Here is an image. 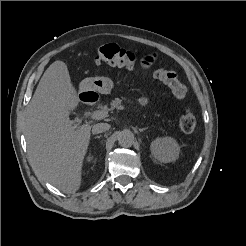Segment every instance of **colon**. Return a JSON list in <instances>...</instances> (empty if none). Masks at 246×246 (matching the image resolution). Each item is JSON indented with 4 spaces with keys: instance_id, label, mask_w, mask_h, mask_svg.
I'll return each instance as SVG.
<instances>
[{
    "instance_id": "colon-1",
    "label": "colon",
    "mask_w": 246,
    "mask_h": 246,
    "mask_svg": "<svg viewBox=\"0 0 246 246\" xmlns=\"http://www.w3.org/2000/svg\"><path fill=\"white\" fill-rule=\"evenodd\" d=\"M96 60L128 69H132L136 64V57L132 52L113 43L101 46L97 51ZM154 76L166 84L176 98L181 99L185 97L187 89L185 85L179 81L177 74L174 71L160 68L155 71ZM178 125L185 133H190L195 129L196 118L189 107L185 109V112L180 117Z\"/></svg>"
}]
</instances>
